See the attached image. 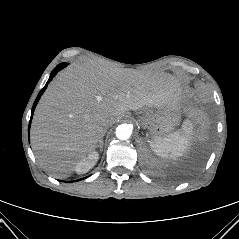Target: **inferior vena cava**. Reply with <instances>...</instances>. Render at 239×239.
<instances>
[{
	"instance_id": "inferior-vena-cava-1",
	"label": "inferior vena cava",
	"mask_w": 239,
	"mask_h": 239,
	"mask_svg": "<svg viewBox=\"0 0 239 239\" xmlns=\"http://www.w3.org/2000/svg\"><path fill=\"white\" fill-rule=\"evenodd\" d=\"M115 123L114 118H108L103 122L104 127L112 126Z\"/></svg>"
}]
</instances>
